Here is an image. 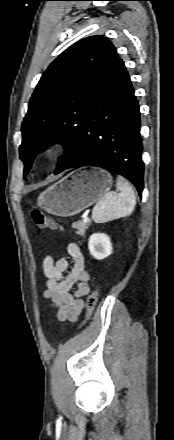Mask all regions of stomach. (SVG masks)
Instances as JSON below:
<instances>
[{
    "label": "stomach",
    "instance_id": "obj_1",
    "mask_svg": "<svg viewBox=\"0 0 174 440\" xmlns=\"http://www.w3.org/2000/svg\"><path fill=\"white\" fill-rule=\"evenodd\" d=\"M112 183L111 174L104 169H76L43 191L37 204L52 215L71 217L100 200Z\"/></svg>",
    "mask_w": 174,
    "mask_h": 440
}]
</instances>
